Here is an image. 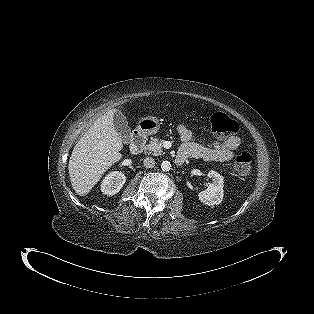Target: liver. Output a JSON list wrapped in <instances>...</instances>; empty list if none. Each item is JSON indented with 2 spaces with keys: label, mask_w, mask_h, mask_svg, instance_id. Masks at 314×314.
Here are the masks:
<instances>
[{
  "label": "liver",
  "mask_w": 314,
  "mask_h": 314,
  "mask_svg": "<svg viewBox=\"0 0 314 314\" xmlns=\"http://www.w3.org/2000/svg\"><path fill=\"white\" fill-rule=\"evenodd\" d=\"M116 109L100 116L75 145L68 164L71 185L85 196L103 174L122 159L123 142L114 123Z\"/></svg>",
  "instance_id": "1"
}]
</instances>
